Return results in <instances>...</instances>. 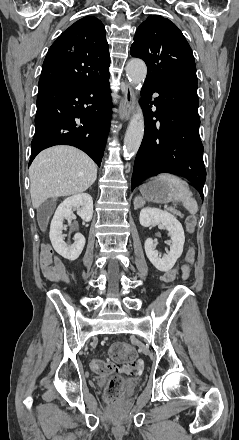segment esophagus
<instances>
[{
	"label": "esophagus",
	"mask_w": 239,
	"mask_h": 440,
	"mask_svg": "<svg viewBox=\"0 0 239 440\" xmlns=\"http://www.w3.org/2000/svg\"><path fill=\"white\" fill-rule=\"evenodd\" d=\"M134 105H135V92L130 84H126L125 92L123 94V100L121 102L119 118L121 120H127L133 112Z\"/></svg>",
	"instance_id": "esophagus-1"
}]
</instances>
